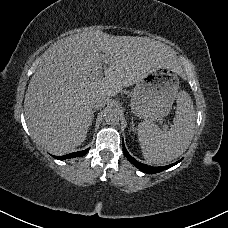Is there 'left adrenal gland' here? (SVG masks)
I'll return each instance as SVG.
<instances>
[{"mask_svg": "<svg viewBox=\"0 0 228 228\" xmlns=\"http://www.w3.org/2000/svg\"><path fill=\"white\" fill-rule=\"evenodd\" d=\"M131 122H132V126L134 127V120H133V117L131 119Z\"/></svg>", "mask_w": 228, "mask_h": 228, "instance_id": "left-adrenal-gland-1", "label": "left adrenal gland"}]
</instances>
